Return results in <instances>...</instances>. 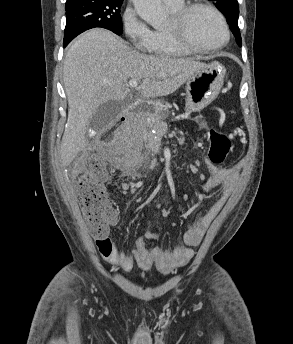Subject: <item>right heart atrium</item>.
I'll use <instances>...</instances> for the list:
<instances>
[{"instance_id": "1", "label": "right heart atrium", "mask_w": 293, "mask_h": 344, "mask_svg": "<svg viewBox=\"0 0 293 344\" xmlns=\"http://www.w3.org/2000/svg\"><path fill=\"white\" fill-rule=\"evenodd\" d=\"M122 30L126 38L135 50H147L152 37L153 30L143 21L136 10L127 6L121 17Z\"/></svg>"}]
</instances>
